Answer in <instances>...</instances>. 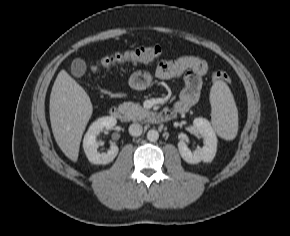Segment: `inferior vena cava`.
I'll use <instances>...</instances> for the list:
<instances>
[{
    "label": "inferior vena cava",
    "mask_w": 290,
    "mask_h": 236,
    "mask_svg": "<svg viewBox=\"0 0 290 236\" xmlns=\"http://www.w3.org/2000/svg\"><path fill=\"white\" fill-rule=\"evenodd\" d=\"M143 128L138 123H133L129 126V133L132 136H140L142 134Z\"/></svg>",
    "instance_id": "602c4592"
}]
</instances>
